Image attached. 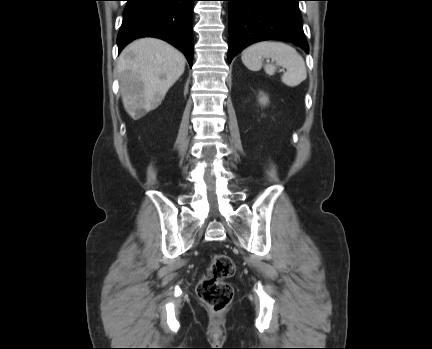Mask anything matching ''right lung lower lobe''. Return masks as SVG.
<instances>
[{
  "mask_svg": "<svg viewBox=\"0 0 432 349\" xmlns=\"http://www.w3.org/2000/svg\"><path fill=\"white\" fill-rule=\"evenodd\" d=\"M195 0H127L118 33L119 52L141 37L163 39L181 50L190 66L193 62L192 17Z\"/></svg>",
  "mask_w": 432,
  "mask_h": 349,
  "instance_id": "1",
  "label": "right lung lower lobe"
}]
</instances>
